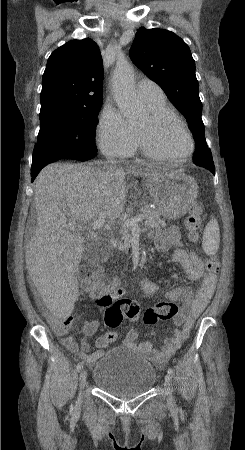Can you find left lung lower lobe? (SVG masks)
Returning a JSON list of instances; mask_svg holds the SVG:
<instances>
[{
  "instance_id": "obj_1",
  "label": "left lung lower lobe",
  "mask_w": 245,
  "mask_h": 450,
  "mask_svg": "<svg viewBox=\"0 0 245 450\" xmlns=\"http://www.w3.org/2000/svg\"><path fill=\"white\" fill-rule=\"evenodd\" d=\"M207 150L210 151V149L208 147L203 146V147L198 148L196 146V151H195L194 157L197 158V156L201 157L202 155H203L202 157H205L206 154L209 153V152H206ZM200 166H203V167L209 169L215 175V167H214L213 159L209 165H200Z\"/></svg>"
}]
</instances>
